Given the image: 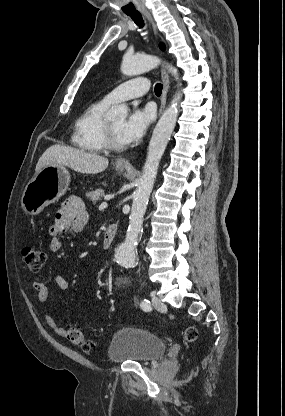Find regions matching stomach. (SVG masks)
<instances>
[{
	"mask_svg": "<svg viewBox=\"0 0 285 416\" xmlns=\"http://www.w3.org/2000/svg\"><path fill=\"white\" fill-rule=\"evenodd\" d=\"M126 166L115 168L118 172ZM130 166H127L129 170ZM70 174L65 166H45L35 174L27 184L21 198V206L25 214L36 216L49 204H55L66 194L70 184Z\"/></svg>",
	"mask_w": 285,
	"mask_h": 416,
	"instance_id": "1",
	"label": "stomach"
}]
</instances>
